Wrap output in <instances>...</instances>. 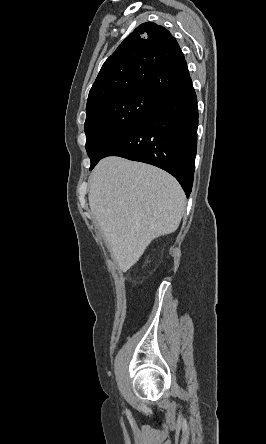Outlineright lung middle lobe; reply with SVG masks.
<instances>
[{"label":"right lung middle lobe","mask_w":266,"mask_h":444,"mask_svg":"<svg viewBox=\"0 0 266 444\" xmlns=\"http://www.w3.org/2000/svg\"><path fill=\"white\" fill-rule=\"evenodd\" d=\"M161 99L145 91L119 94L86 110L84 130L90 170L102 159L107 147L137 126Z\"/></svg>","instance_id":"obj_1"}]
</instances>
